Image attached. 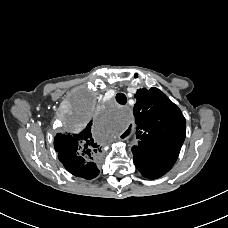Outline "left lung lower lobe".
<instances>
[{
	"mask_svg": "<svg viewBox=\"0 0 228 228\" xmlns=\"http://www.w3.org/2000/svg\"><path fill=\"white\" fill-rule=\"evenodd\" d=\"M133 152V161L141 174L149 179H156L167 173L176 158L160 156L149 152Z\"/></svg>",
	"mask_w": 228,
	"mask_h": 228,
	"instance_id": "left-lung-lower-lobe-1",
	"label": "left lung lower lobe"
}]
</instances>
